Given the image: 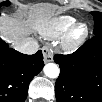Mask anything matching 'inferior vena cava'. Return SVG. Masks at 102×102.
I'll return each instance as SVG.
<instances>
[{"label":"inferior vena cava","mask_w":102,"mask_h":102,"mask_svg":"<svg viewBox=\"0 0 102 102\" xmlns=\"http://www.w3.org/2000/svg\"><path fill=\"white\" fill-rule=\"evenodd\" d=\"M38 42L34 38H27L18 44L15 49L23 54H35L38 51Z\"/></svg>","instance_id":"1"}]
</instances>
